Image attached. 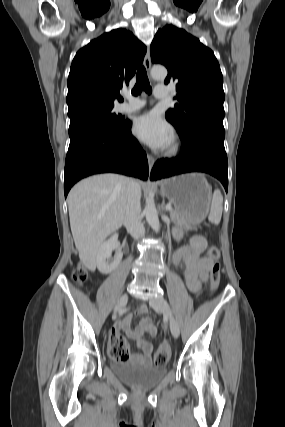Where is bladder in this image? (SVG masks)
<instances>
[{"label": "bladder", "mask_w": 285, "mask_h": 427, "mask_svg": "<svg viewBox=\"0 0 285 427\" xmlns=\"http://www.w3.org/2000/svg\"><path fill=\"white\" fill-rule=\"evenodd\" d=\"M112 369L121 380L137 389L155 387L167 373L166 367L149 364L113 362Z\"/></svg>", "instance_id": "31cf9c89"}]
</instances>
